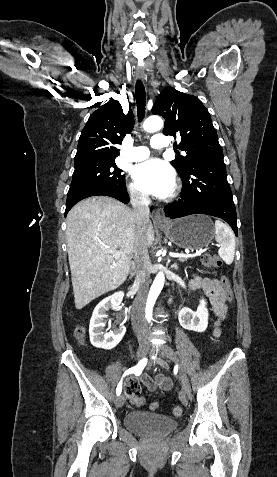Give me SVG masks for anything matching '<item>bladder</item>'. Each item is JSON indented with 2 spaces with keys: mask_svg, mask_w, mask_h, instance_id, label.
<instances>
[{
  "mask_svg": "<svg viewBox=\"0 0 277 477\" xmlns=\"http://www.w3.org/2000/svg\"><path fill=\"white\" fill-rule=\"evenodd\" d=\"M126 427L140 435L161 436L178 427V421L156 413L132 411L124 418Z\"/></svg>",
  "mask_w": 277,
  "mask_h": 477,
  "instance_id": "bladder-1",
  "label": "bladder"
}]
</instances>
